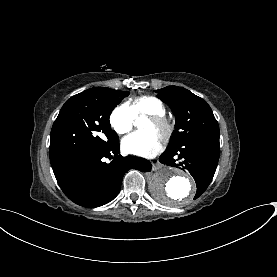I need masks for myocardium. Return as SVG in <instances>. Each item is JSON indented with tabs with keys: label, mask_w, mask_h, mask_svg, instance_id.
<instances>
[{
	"label": "myocardium",
	"mask_w": 277,
	"mask_h": 277,
	"mask_svg": "<svg viewBox=\"0 0 277 277\" xmlns=\"http://www.w3.org/2000/svg\"><path fill=\"white\" fill-rule=\"evenodd\" d=\"M148 118H150L155 124L160 127L161 131L158 136L161 139L165 140L171 136L173 132V126L165 115L158 113H149Z\"/></svg>",
	"instance_id": "myocardium-1"
}]
</instances>
